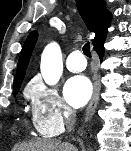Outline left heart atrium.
Returning <instances> with one entry per match:
<instances>
[{"label": "left heart atrium", "instance_id": "left-heart-atrium-1", "mask_svg": "<svg viewBox=\"0 0 131 151\" xmlns=\"http://www.w3.org/2000/svg\"><path fill=\"white\" fill-rule=\"evenodd\" d=\"M92 84L90 80L82 75L70 78L64 87L66 101L73 107L84 106L92 95Z\"/></svg>", "mask_w": 131, "mask_h": 151}]
</instances>
